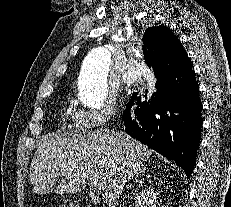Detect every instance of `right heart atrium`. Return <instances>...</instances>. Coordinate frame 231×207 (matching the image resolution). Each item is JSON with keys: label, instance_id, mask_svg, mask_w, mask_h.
<instances>
[{"label": "right heart atrium", "instance_id": "1", "mask_svg": "<svg viewBox=\"0 0 231 207\" xmlns=\"http://www.w3.org/2000/svg\"><path fill=\"white\" fill-rule=\"evenodd\" d=\"M115 113L114 104L109 102L100 109L78 112L77 120L79 126L82 128L96 129L106 125L114 117Z\"/></svg>", "mask_w": 231, "mask_h": 207}]
</instances>
